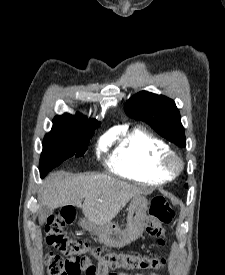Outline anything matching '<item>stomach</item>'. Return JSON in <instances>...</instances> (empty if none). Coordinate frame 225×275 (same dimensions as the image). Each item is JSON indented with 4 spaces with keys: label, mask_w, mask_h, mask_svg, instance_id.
<instances>
[{
    "label": "stomach",
    "mask_w": 225,
    "mask_h": 275,
    "mask_svg": "<svg viewBox=\"0 0 225 275\" xmlns=\"http://www.w3.org/2000/svg\"><path fill=\"white\" fill-rule=\"evenodd\" d=\"M149 201L142 195L132 198L124 227L110 222L103 226H96L87 221L84 227L95 234L98 240L109 247L121 248L137 240L144 231Z\"/></svg>",
    "instance_id": "stomach-1"
}]
</instances>
